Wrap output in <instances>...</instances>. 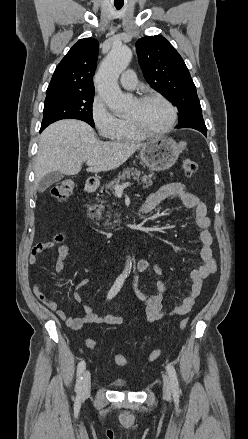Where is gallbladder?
Returning <instances> with one entry per match:
<instances>
[{
  "label": "gallbladder",
  "instance_id": "gallbladder-1",
  "mask_svg": "<svg viewBox=\"0 0 248 439\" xmlns=\"http://www.w3.org/2000/svg\"><path fill=\"white\" fill-rule=\"evenodd\" d=\"M63 174L60 172H51L46 175L38 184V191L44 192L52 184L59 182L63 178Z\"/></svg>",
  "mask_w": 248,
  "mask_h": 439
}]
</instances>
